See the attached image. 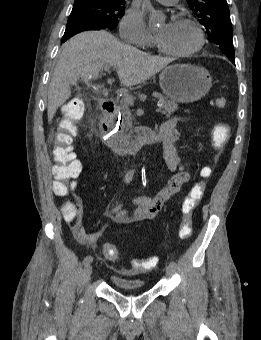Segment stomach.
Returning <instances> with one entry per match:
<instances>
[{"instance_id":"obj_1","label":"stomach","mask_w":261,"mask_h":340,"mask_svg":"<svg viewBox=\"0 0 261 340\" xmlns=\"http://www.w3.org/2000/svg\"><path fill=\"white\" fill-rule=\"evenodd\" d=\"M163 93L178 103H193L202 99L212 87L209 72L195 65L176 64L165 67L159 75Z\"/></svg>"}]
</instances>
